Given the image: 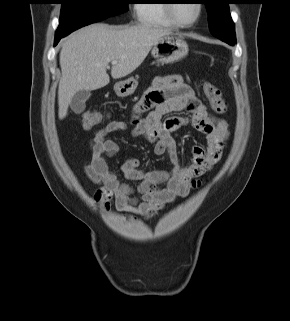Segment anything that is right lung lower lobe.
I'll return each instance as SVG.
<instances>
[{
    "mask_svg": "<svg viewBox=\"0 0 290 321\" xmlns=\"http://www.w3.org/2000/svg\"><path fill=\"white\" fill-rule=\"evenodd\" d=\"M64 37V36H56L55 37V45H57V43L60 41V39Z\"/></svg>",
    "mask_w": 290,
    "mask_h": 321,
    "instance_id": "1",
    "label": "right lung lower lobe"
}]
</instances>
